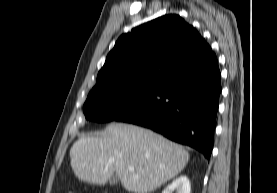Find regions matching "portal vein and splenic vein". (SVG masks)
I'll return each mask as SVG.
<instances>
[{
    "label": "portal vein and splenic vein",
    "mask_w": 277,
    "mask_h": 193,
    "mask_svg": "<svg viewBox=\"0 0 277 193\" xmlns=\"http://www.w3.org/2000/svg\"><path fill=\"white\" fill-rule=\"evenodd\" d=\"M128 170L129 171H134V167L133 166H128Z\"/></svg>",
    "instance_id": "18ae733b"
}]
</instances>
